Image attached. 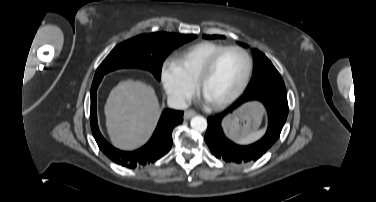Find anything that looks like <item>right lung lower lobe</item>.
<instances>
[{"instance_id": "98d812e1", "label": "right lung lower lobe", "mask_w": 376, "mask_h": 202, "mask_svg": "<svg viewBox=\"0 0 376 202\" xmlns=\"http://www.w3.org/2000/svg\"><path fill=\"white\" fill-rule=\"evenodd\" d=\"M102 78H98L92 83L90 112V124L92 133L100 150L116 164L133 169L137 165H146L153 163L167 154L172 146V131L175 126L182 123L183 112L172 109H165L161 115L153 136L145 146L133 152L118 150L111 146L102 137L98 129L96 115V92Z\"/></svg>"}]
</instances>
